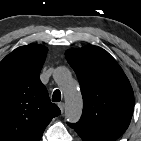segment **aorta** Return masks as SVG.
Returning <instances> with one entry per match:
<instances>
[{
  "label": "aorta",
  "mask_w": 141,
  "mask_h": 141,
  "mask_svg": "<svg viewBox=\"0 0 141 141\" xmlns=\"http://www.w3.org/2000/svg\"><path fill=\"white\" fill-rule=\"evenodd\" d=\"M53 77L61 85L65 98V118L68 122H77L82 114V95L76 82L72 79L71 73L66 67H57Z\"/></svg>",
  "instance_id": "762f6f07"
}]
</instances>
